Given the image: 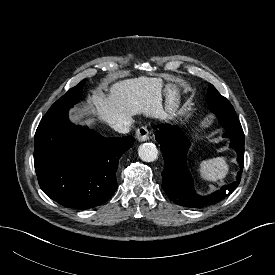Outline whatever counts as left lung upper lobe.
Returning a JSON list of instances; mask_svg holds the SVG:
<instances>
[{
	"mask_svg": "<svg viewBox=\"0 0 275 275\" xmlns=\"http://www.w3.org/2000/svg\"><path fill=\"white\" fill-rule=\"evenodd\" d=\"M209 110L215 113L221 124H240L230 102L210 84L207 92Z\"/></svg>",
	"mask_w": 275,
	"mask_h": 275,
	"instance_id": "obj_1",
	"label": "left lung upper lobe"
}]
</instances>
